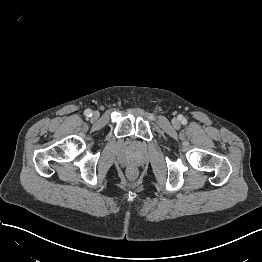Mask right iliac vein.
Returning <instances> with one entry per match:
<instances>
[{
    "mask_svg": "<svg viewBox=\"0 0 262 262\" xmlns=\"http://www.w3.org/2000/svg\"><path fill=\"white\" fill-rule=\"evenodd\" d=\"M99 117V113L98 112H94L93 113V119H97Z\"/></svg>",
    "mask_w": 262,
    "mask_h": 262,
    "instance_id": "63e3f726",
    "label": "right iliac vein"
}]
</instances>
